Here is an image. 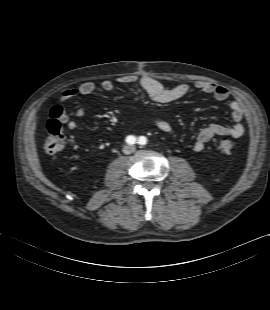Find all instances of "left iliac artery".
<instances>
[{
  "instance_id": "left-iliac-artery-1",
  "label": "left iliac artery",
  "mask_w": 270,
  "mask_h": 310,
  "mask_svg": "<svg viewBox=\"0 0 270 310\" xmlns=\"http://www.w3.org/2000/svg\"><path fill=\"white\" fill-rule=\"evenodd\" d=\"M139 142V144L140 145H145L146 143H147V139H146V137H144V136H141V137H139V140H138Z\"/></svg>"
}]
</instances>
